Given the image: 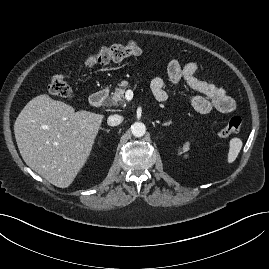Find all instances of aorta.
<instances>
[{
  "mask_svg": "<svg viewBox=\"0 0 269 269\" xmlns=\"http://www.w3.org/2000/svg\"><path fill=\"white\" fill-rule=\"evenodd\" d=\"M131 132L135 137H142L146 132V126L142 122H135L131 126Z\"/></svg>",
  "mask_w": 269,
  "mask_h": 269,
  "instance_id": "obj_1",
  "label": "aorta"
}]
</instances>
